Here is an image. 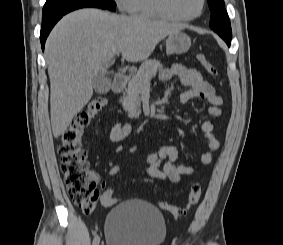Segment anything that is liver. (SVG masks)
<instances>
[{
  "instance_id": "6515ba94",
  "label": "liver",
  "mask_w": 283,
  "mask_h": 245,
  "mask_svg": "<svg viewBox=\"0 0 283 245\" xmlns=\"http://www.w3.org/2000/svg\"><path fill=\"white\" fill-rule=\"evenodd\" d=\"M181 29L179 24L98 9H81L63 17L45 46L54 137L63 135L89 102L93 78L106 72L117 52L129 62L146 60L162 39Z\"/></svg>"
}]
</instances>
